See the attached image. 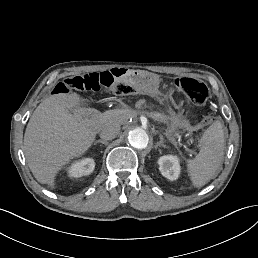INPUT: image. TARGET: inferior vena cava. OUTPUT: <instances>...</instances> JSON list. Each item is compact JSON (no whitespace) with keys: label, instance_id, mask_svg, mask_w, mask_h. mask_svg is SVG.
<instances>
[{"label":"inferior vena cava","instance_id":"1","mask_svg":"<svg viewBox=\"0 0 258 258\" xmlns=\"http://www.w3.org/2000/svg\"><path fill=\"white\" fill-rule=\"evenodd\" d=\"M120 133V127L113 124L107 125L100 133V137L104 140L114 139Z\"/></svg>","mask_w":258,"mask_h":258}]
</instances>
